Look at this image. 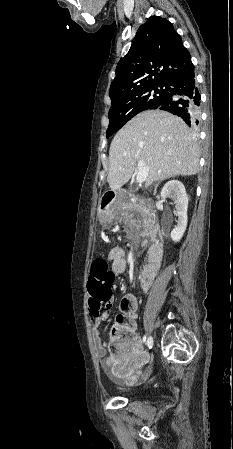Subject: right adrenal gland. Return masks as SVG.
Returning <instances> with one entry per match:
<instances>
[{
	"instance_id": "1",
	"label": "right adrenal gland",
	"mask_w": 233,
	"mask_h": 449,
	"mask_svg": "<svg viewBox=\"0 0 233 449\" xmlns=\"http://www.w3.org/2000/svg\"><path fill=\"white\" fill-rule=\"evenodd\" d=\"M161 181H163V179H161V180L156 184V187H155V193L157 192V187H158V185H159V183H160Z\"/></svg>"
}]
</instances>
